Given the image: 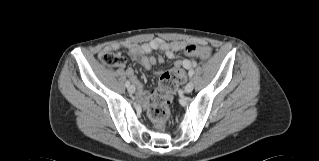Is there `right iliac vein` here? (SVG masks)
Wrapping results in <instances>:
<instances>
[{"instance_id":"obj_1","label":"right iliac vein","mask_w":319,"mask_h":161,"mask_svg":"<svg viewBox=\"0 0 319 161\" xmlns=\"http://www.w3.org/2000/svg\"><path fill=\"white\" fill-rule=\"evenodd\" d=\"M128 91H129V93L133 94L135 92V87L133 85H130L128 87Z\"/></svg>"}]
</instances>
